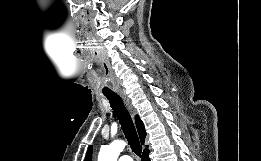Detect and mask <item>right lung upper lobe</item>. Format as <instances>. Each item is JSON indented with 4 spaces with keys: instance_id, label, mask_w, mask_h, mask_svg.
Returning <instances> with one entry per match:
<instances>
[{
    "instance_id": "1",
    "label": "right lung upper lobe",
    "mask_w": 261,
    "mask_h": 161,
    "mask_svg": "<svg viewBox=\"0 0 261 161\" xmlns=\"http://www.w3.org/2000/svg\"><path fill=\"white\" fill-rule=\"evenodd\" d=\"M135 121H136V126L138 129L141 143L144 144V140L146 137V131H145L143 122L140 120V118L138 116L135 117ZM145 151H148V150L146 149ZM91 160H92V146L89 148L86 158H85V161H91Z\"/></svg>"
}]
</instances>
